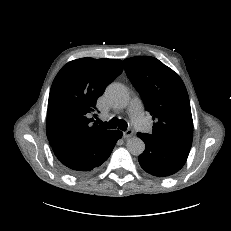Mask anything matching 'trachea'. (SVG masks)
<instances>
[{
    "mask_svg": "<svg viewBox=\"0 0 231 231\" xmlns=\"http://www.w3.org/2000/svg\"><path fill=\"white\" fill-rule=\"evenodd\" d=\"M97 123L108 129H115L118 127L123 131L127 130L128 127L127 123L124 120H119L116 117L112 118L109 122H102L98 119Z\"/></svg>",
    "mask_w": 231,
    "mask_h": 231,
    "instance_id": "1",
    "label": "trachea"
}]
</instances>
